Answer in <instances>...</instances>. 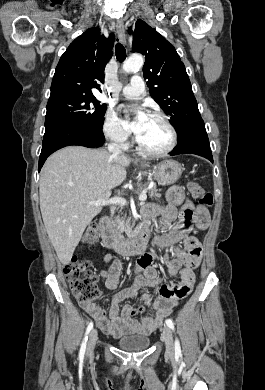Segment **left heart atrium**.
I'll list each match as a JSON object with an SVG mask.
<instances>
[{
	"label": "left heart atrium",
	"instance_id": "39dd6f15",
	"mask_svg": "<svg viewBox=\"0 0 265 390\" xmlns=\"http://www.w3.org/2000/svg\"><path fill=\"white\" fill-rule=\"evenodd\" d=\"M147 118V114L142 110L136 112L135 118L132 122L128 124V127L135 133L138 134L141 130L142 125L144 124Z\"/></svg>",
	"mask_w": 265,
	"mask_h": 390
}]
</instances>
